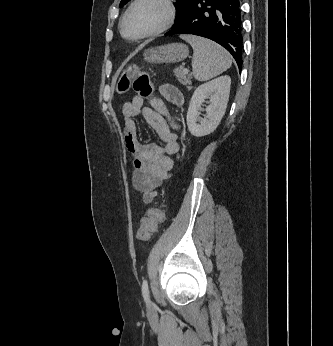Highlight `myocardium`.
I'll return each mask as SVG.
<instances>
[{
  "label": "myocardium",
  "mask_w": 333,
  "mask_h": 346,
  "mask_svg": "<svg viewBox=\"0 0 333 346\" xmlns=\"http://www.w3.org/2000/svg\"><path fill=\"white\" fill-rule=\"evenodd\" d=\"M143 0H134L132 1V3L128 6V8L126 9V11L124 12L121 21H120V25H119V30L121 35L125 38V39H129V40H139V39H145V38H150V37H154L157 36L163 32H165L166 30H168L174 23L175 18H176V5H175V0H158L159 2H161L167 10V15L165 18V21L162 23L161 26H159L157 29L141 34L139 36H135V37H129L125 34L124 32V23L126 21L127 16L129 15V13L132 11V9L140 2H142Z\"/></svg>",
  "instance_id": "myocardium-1"
}]
</instances>
